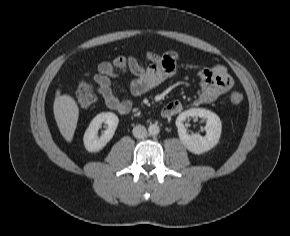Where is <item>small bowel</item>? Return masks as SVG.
<instances>
[{
	"label": "small bowel",
	"instance_id": "small-bowel-1",
	"mask_svg": "<svg viewBox=\"0 0 290 236\" xmlns=\"http://www.w3.org/2000/svg\"><path fill=\"white\" fill-rule=\"evenodd\" d=\"M145 63H140L134 56L119 55L112 62H102L98 65L94 82L97 92L103 98L106 106L126 115L132 109L131 100L119 99L112 88V81L126 72H130L134 79L131 82V93L141 96L159 86L166 79L177 74L179 54L175 51H167L162 54L149 51L144 57ZM200 91L194 97L192 106L198 107L215 101L233 86V79L223 64H214L198 74ZM183 110L180 101L167 103L161 116L169 119Z\"/></svg>",
	"mask_w": 290,
	"mask_h": 236
}]
</instances>
